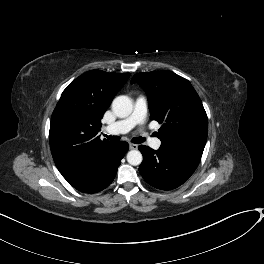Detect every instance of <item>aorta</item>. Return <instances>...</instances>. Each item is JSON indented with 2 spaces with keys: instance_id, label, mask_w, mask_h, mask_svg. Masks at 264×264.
<instances>
[{
  "instance_id": "obj_1",
  "label": "aorta",
  "mask_w": 264,
  "mask_h": 264,
  "mask_svg": "<svg viewBox=\"0 0 264 264\" xmlns=\"http://www.w3.org/2000/svg\"><path fill=\"white\" fill-rule=\"evenodd\" d=\"M133 109L132 101L128 96H118L112 102V110L120 118L128 117ZM142 154L138 150H131L127 154V162L137 166L142 162Z\"/></svg>"
}]
</instances>
